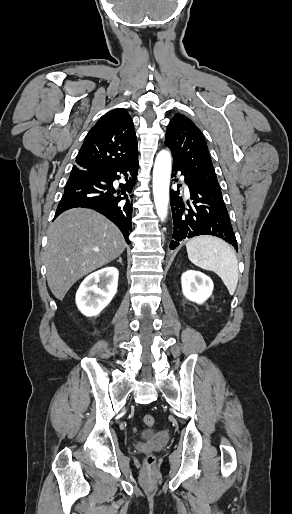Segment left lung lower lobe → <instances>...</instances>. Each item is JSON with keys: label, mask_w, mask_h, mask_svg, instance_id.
Segmentation results:
<instances>
[{"label": "left lung lower lobe", "mask_w": 292, "mask_h": 514, "mask_svg": "<svg viewBox=\"0 0 292 514\" xmlns=\"http://www.w3.org/2000/svg\"><path fill=\"white\" fill-rule=\"evenodd\" d=\"M172 171V177H175L178 171H181L182 175L185 176L190 197L185 200L180 196L179 190L170 192L174 225L170 249H175L179 245L178 241L185 238L213 235L227 241L237 250V240L223 201L221 189L196 182L174 162Z\"/></svg>", "instance_id": "0a47b994"}]
</instances>
